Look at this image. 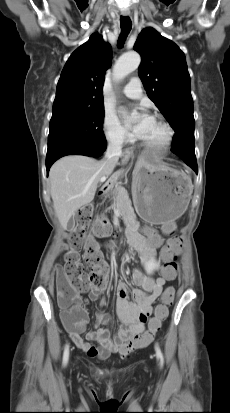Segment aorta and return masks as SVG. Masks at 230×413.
Returning <instances> with one entry per match:
<instances>
[{
  "instance_id": "762f6f07",
  "label": "aorta",
  "mask_w": 230,
  "mask_h": 413,
  "mask_svg": "<svg viewBox=\"0 0 230 413\" xmlns=\"http://www.w3.org/2000/svg\"><path fill=\"white\" fill-rule=\"evenodd\" d=\"M140 55L136 52L123 54L115 63L113 76L116 80H121L128 74L136 70L140 64Z\"/></svg>"
}]
</instances>
